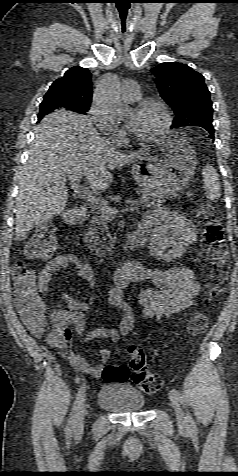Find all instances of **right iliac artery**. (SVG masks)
<instances>
[{
    "label": "right iliac artery",
    "mask_w": 238,
    "mask_h": 476,
    "mask_svg": "<svg viewBox=\"0 0 238 476\" xmlns=\"http://www.w3.org/2000/svg\"><path fill=\"white\" fill-rule=\"evenodd\" d=\"M85 395V385H82L77 393L76 400L74 402L72 412L70 414V418L68 420L67 426H66V438H70L74 425H75V420L76 417L79 413V410L81 409L82 401L84 399Z\"/></svg>",
    "instance_id": "obj_1"
}]
</instances>
